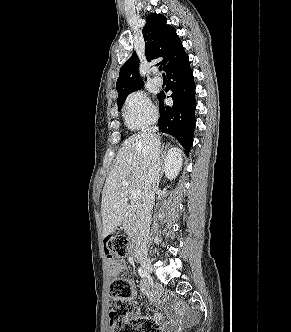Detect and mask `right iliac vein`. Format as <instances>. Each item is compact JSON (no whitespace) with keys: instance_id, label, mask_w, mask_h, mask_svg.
<instances>
[{"instance_id":"obj_1","label":"right iliac vein","mask_w":291,"mask_h":332,"mask_svg":"<svg viewBox=\"0 0 291 332\" xmlns=\"http://www.w3.org/2000/svg\"><path fill=\"white\" fill-rule=\"evenodd\" d=\"M138 261L146 273L152 272V264L149 258L141 256L138 258Z\"/></svg>"}]
</instances>
